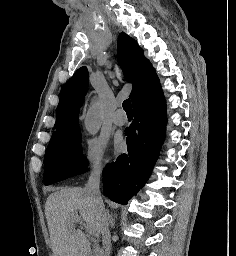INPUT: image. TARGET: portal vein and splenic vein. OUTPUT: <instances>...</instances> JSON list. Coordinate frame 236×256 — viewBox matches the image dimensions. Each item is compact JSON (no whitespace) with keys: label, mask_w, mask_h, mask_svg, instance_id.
I'll list each match as a JSON object with an SVG mask.
<instances>
[{"label":"portal vein and splenic vein","mask_w":236,"mask_h":256,"mask_svg":"<svg viewBox=\"0 0 236 256\" xmlns=\"http://www.w3.org/2000/svg\"><path fill=\"white\" fill-rule=\"evenodd\" d=\"M72 222L73 224H80V226H83L84 230H86L87 234H89V236H93L94 232H92V228H89V226H85L80 216H72Z\"/></svg>","instance_id":"18ae733b"}]
</instances>
